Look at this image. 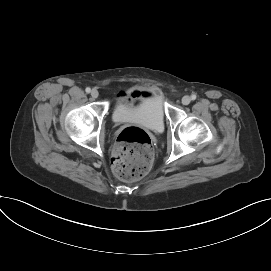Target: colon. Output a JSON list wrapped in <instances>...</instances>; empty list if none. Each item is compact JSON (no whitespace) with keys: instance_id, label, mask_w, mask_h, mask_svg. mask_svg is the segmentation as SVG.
Segmentation results:
<instances>
[{"instance_id":"1","label":"colon","mask_w":271,"mask_h":271,"mask_svg":"<svg viewBox=\"0 0 271 271\" xmlns=\"http://www.w3.org/2000/svg\"><path fill=\"white\" fill-rule=\"evenodd\" d=\"M152 160V142L145 130L127 127L121 131L111 158L116 177L125 181L137 180L149 171Z\"/></svg>"}]
</instances>
